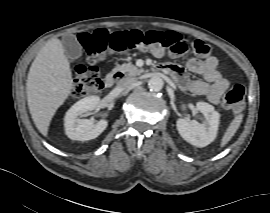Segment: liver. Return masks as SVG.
Returning a JSON list of instances; mask_svg holds the SVG:
<instances>
[{
    "mask_svg": "<svg viewBox=\"0 0 270 213\" xmlns=\"http://www.w3.org/2000/svg\"><path fill=\"white\" fill-rule=\"evenodd\" d=\"M73 88L72 72L63 45L50 39L38 52L27 77V102L33 122L47 136L50 122Z\"/></svg>",
    "mask_w": 270,
    "mask_h": 213,
    "instance_id": "obj_1",
    "label": "liver"
}]
</instances>
